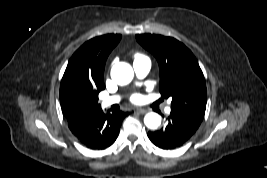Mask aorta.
<instances>
[{"instance_id": "aorta-1", "label": "aorta", "mask_w": 267, "mask_h": 178, "mask_svg": "<svg viewBox=\"0 0 267 178\" xmlns=\"http://www.w3.org/2000/svg\"><path fill=\"white\" fill-rule=\"evenodd\" d=\"M134 77V71L130 64L118 62L111 69V78L119 85L129 84ZM147 128L155 130L161 124V116L155 112L147 113L144 117Z\"/></svg>"}]
</instances>
